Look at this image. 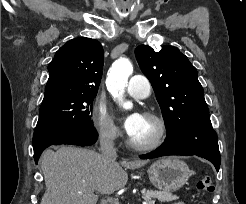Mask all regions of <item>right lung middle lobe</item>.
<instances>
[{
	"instance_id": "right-lung-middle-lobe-1",
	"label": "right lung middle lobe",
	"mask_w": 246,
	"mask_h": 204,
	"mask_svg": "<svg viewBox=\"0 0 246 204\" xmlns=\"http://www.w3.org/2000/svg\"><path fill=\"white\" fill-rule=\"evenodd\" d=\"M96 94H67L43 101L33 141L40 136H55L76 128L92 127V103Z\"/></svg>"
}]
</instances>
